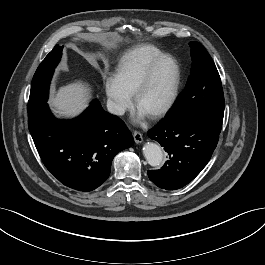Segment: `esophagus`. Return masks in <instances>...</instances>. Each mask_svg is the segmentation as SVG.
<instances>
[{
  "label": "esophagus",
  "instance_id": "34e87169",
  "mask_svg": "<svg viewBox=\"0 0 265 265\" xmlns=\"http://www.w3.org/2000/svg\"><path fill=\"white\" fill-rule=\"evenodd\" d=\"M133 138L135 143L140 144L143 142V135L139 131L133 132Z\"/></svg>",
  "mask_w": 265,
  "mask_h": 265
}]
</instances>
